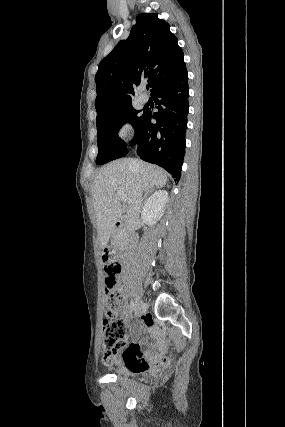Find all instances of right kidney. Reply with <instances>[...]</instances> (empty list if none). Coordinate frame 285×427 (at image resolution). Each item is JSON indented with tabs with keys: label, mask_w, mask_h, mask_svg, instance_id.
Masks as SVG:
<instances>
[{
	"label": "right kidney",
	"mask_w": 285,
	"mask_h": 427,
	"mask_svg": "<svg viewBox=\"0 0 285 427\" xmlns=\"http://www.w3.org/2000/svg\"><path fill=\"white\" fill-rule=\"evenodd\" d=\"M167 200L168 192L166 190H159L152 194L142 208L143 221L149 226L156 224L164 215Z\"/></svg>",
	"instance_id": "obj_1"
}]
</instances>
